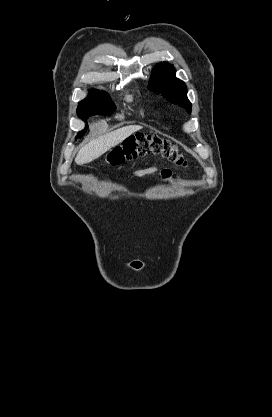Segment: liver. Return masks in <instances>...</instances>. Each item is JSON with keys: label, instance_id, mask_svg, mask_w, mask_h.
Listing matches in <instances>:
<instances>
[{"label": "liver", "instance_id": "1", "mask_svg": "<svg viewBox=\"0 0 272 417\" xmlns=\"http://www.w3.org/2000/svg\"><path fill=\"white\" fill-rule=\"evenodd\" d=\"M141 129L142 126L140 125H129L90 141L79 150L75 158L76 164L83 165L94 161L106 153L109 149L118 145L127 137Z\"/></svg>", "mask_w": 272, "mask_h": 417}]
</instances>
